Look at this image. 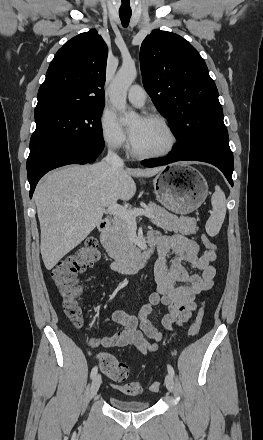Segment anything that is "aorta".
<instances>
[{"instance_id":"obj_1","label":"aorta","mask_w":263,"mask_h":440,"mask_svg":"<svg viewBox=\"0 0 263 440\" xmlns=\"http://www.w3.org/2000/svg\"><path fill=\"white\" fill-rule=\"evenodd\" d=\"M137 70L133 63L123 64L110 85V101L122 114L120 121L128 124L138 118L135 112L127 111V91L136 79Z\"/></svg>"}]
</instances>
